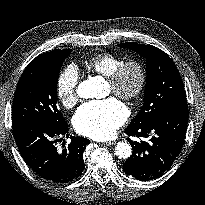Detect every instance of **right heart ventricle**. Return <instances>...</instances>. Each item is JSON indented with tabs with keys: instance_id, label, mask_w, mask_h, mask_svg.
Masks as SVG:
<instances>
[{
	"instance_id": "e07e8e85",
	"label": "right heart ventricle",
	"mask_w": 205,
	"mask_h": 205,
	"mask_svg": "<svg viewBox=\"0 0 205 205\" xmlns=\"http://www.w3.org/2000/svg\"><path fill=\"white\" fill-rule=\"evenodd\" d=\"M123 61L124 59L118 55L102 53L91 57L86 66L92 72L109 77Z\"/></svg>"
}]
</instances>
